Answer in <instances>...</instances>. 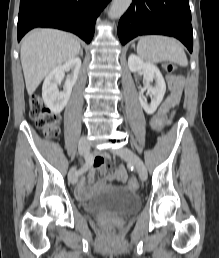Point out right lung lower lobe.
Returning a JSON list of instances; mask_svg holds the SVG:
<instances>
[{
  "label": "right lung lower lobe",
  "instance_id": "obj_1",
  "mask_svg": "<svg viewBox=\"0 0 219 258\" xmlns=\"http://www.w3.org/2000/svg\"><path fill=\"white\" fill-rule=\"evenodd\" d=\"M110 0H20L18 41L32 28L72 32L90 43L95 22Z\"/></svg>",
  "mask_w": 219,
  "mask_h": 258
}]
</instances>
